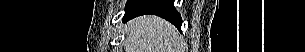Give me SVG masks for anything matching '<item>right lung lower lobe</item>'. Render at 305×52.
<instances>
[{
	"label": "right lung lower lobe",
	"mask_w": 305,
	"mask_h": 52,
	"mask_svg": "<svg viewBox=\"0 0 305 52\" xmlns=\"http://www.w3.org/2000/svg\"><path fill=\"white\" fill-rule=\"evenodd\" d=\"M144 14L158 15L178 29L181 28V16L175 10L173 0H128L123 20L127 21Z\"/></svg>",
	"instance_id": "1"
}]
</instances>
